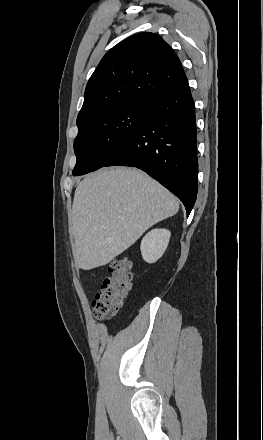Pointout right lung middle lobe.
I'll return each instance as SVG.
<instances>
[{
    "mask_svg": "<svg viewBox=\"0 0 263 440\" xmlns=\"http://www.w3.org/2000/svg\"><path fill=\"white\" fill-rule=\"evenodd\" d=\"M148 110L149 103L132 102L104 110L77 124L74 141L77 163L73 175L103 167L111 153L137 130Z\"/></svg>",
    "mask_w": 263,
    "mask_h": 440,
    "instance_id": "1",
    "label": "right lung middle lobe"
}]
</instances>
